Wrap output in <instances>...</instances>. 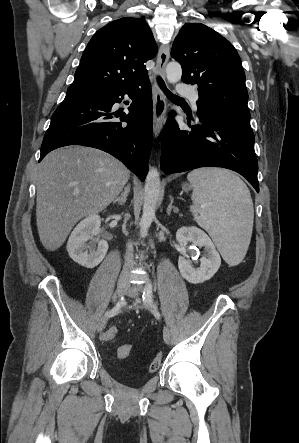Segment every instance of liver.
I'll return each mask as SVG.
<instances>
[{
	"label": "liver",
	"instance_id": "obj_1",
	"mask_svg": "<svg viewBox=\"0 0 299 443\" xmlns=\"http://www.w3.org/2000/svg\"><path fill=\"white\" fill-rule=\"evenodd\" d=\"M129 177L123 163L94 148L71 146L50 152L36 175V221L42 245L57 250L77 221L104 210Z\"/></svg>",
	"mask_w": 299,
	"mask_h": 443
}]
</instances>
